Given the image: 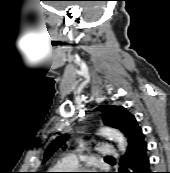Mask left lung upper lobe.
Instances as JSON below:
<instances>
[{
  "mask_svg": "<svg viewBox=\"0 0 170 173\" xmlns=\"http://www.w3.org/2000/svg\"><path fill=\"white\" fill-rule=\"evenodd\" d=\"M103 113L104 123L119 129L128 139V150L144 141L142 129L138 126L135 117L126 108L117 106H99ZM68 138L62 135L54 140L47 148L44 155V162L60 147Z\"/></svg>",
  "mask_w": 170,
  "mask_h": 173,
  "instance_id": "1",
  "label": "left lung upper lobe"
}]
</instances>
